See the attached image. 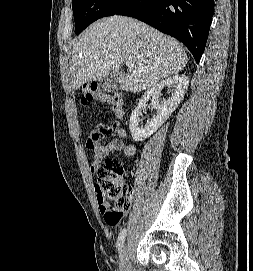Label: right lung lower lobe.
<instances>
[{"label": "right lung lower lobe", "mask_w": 253, "mask_h": 271, "mask_svg": "<svg viewBox=\"0 0 253 271\" xmlns=\"http://www.w3.org/2000/svg\"><path fill=\"white\" fill-rule=\"evenodd\" d=\"M213 13L214 0H126L114 15L136 18L179 39L199 63Z\"/></svg>", "instance_id": "obj_1"}]
</instances>
